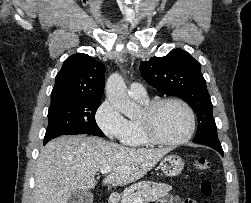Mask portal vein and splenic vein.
<instances>
[{"label":"portal vein and splenic vein","instance_id":"portal-vein-and-splenic-vein-1","mask_svg":"<svg viewBox=\"0 0 251 203\" xmlns=\"http://www.w3.org/2000/svg\"><path fill=\"white\" fill-rule=\"evenodd\" d=\"M113 169L111 167H103L100 169V172L102 174H108L109 172H111ZM134 203H143V200L142 199H137L135 200Z\"/></svg>","mask_w":251,"mask_h":203}]
</instances>
